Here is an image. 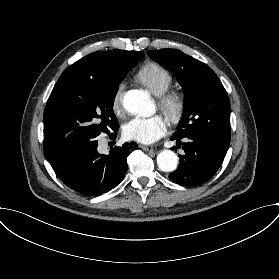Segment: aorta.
Here are the masks:
<instances>
[{
    "label": "aorta",
    "instance_id": "obj_1",
    "mask_svg": "<svg viewBox=\"0 0 279 279\" xmlns=\"http://www.w3.org/2000/svg\"><path fill=\"white\" fill-rule=\"evenodd\" d=\"M124 108L133 115L150 116L154 112V104L143 90H130L123 99ZM160 170L172 172L177 168L178 157L172 150H162L157 156Z\"/></svg>",
    "mask_w": 279,
    "mask_h": 279
}]
</instances>
